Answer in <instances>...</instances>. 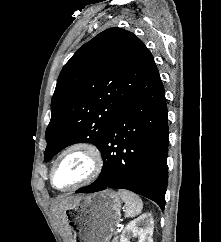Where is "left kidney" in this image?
Instances as JSON below:
<instances>
[{"label":"left kidney","instance_id":"5707ae66","mask_svg":"<svg viewBox=\"0 0 221 242\" xmlns=\"http://www.w3.org/2000/svg\"><path fill=\"white\" fill-rule=\"evenodd\" d=\"M153 227L152 215L150 213L143 214L126 225L121 234L120 242H130L132 237H138V242H153Z\"/></svg>","mask_w":221,"mask_h":242}]
</instances>
